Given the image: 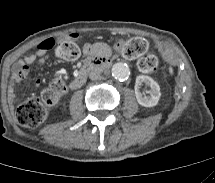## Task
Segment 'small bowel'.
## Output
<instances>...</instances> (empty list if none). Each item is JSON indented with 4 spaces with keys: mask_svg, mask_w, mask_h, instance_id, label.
<instances>
[{
    "mask_svg": "<svg viewBox=\"0 0 215 183\" xmlns=\"http://www.w3.org/2000/svg\"><path fill=\"white\" fill-rule=\"evenodd\" d=\"M72 38H76L77 34H71ZM52 42V46L50 48L42 47L41 43L43 42ZM54 46V41L51 39H45L42 42H40L36 48L33 50L32 53L26 55L23 60H21L15 67L14 73H13V80L9 88V99L12 103L16 102V96L14 92V87L17 84L22 83L29 75L31 65L40 61L43 56L47 53L48 50H50ZM106 52V47L102 44H85L83 46V53L86 56H95L101 53ZM39 83V81H37Z\"/></svg>",
    "mask_w": 215,
    "mask_h": 183,
    "instance_id": "small-bowel-1",
    "label": "small bowel"
}]
</instances>
